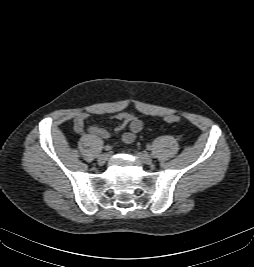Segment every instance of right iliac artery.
I'll list each match as a JSON object with an SVG mask.
<instances>
[{
	"label": "right iliac artery",
	"instance_id": "right-iliac-artery-1",
	"mask_svg": "<svg viewBox=\"0 0 254 267\" xmlns=\"http://www.w3.org/2000/svg\"><path fill=\"white\" fill-rule=\"evenodd\" d=\"M104 149H105L106 151H110V150H111V146H110V145H106V146L104 147Z\"/></svg>",
	"mask_w": 254,
	"mask_h": 267
}]
</instances>
